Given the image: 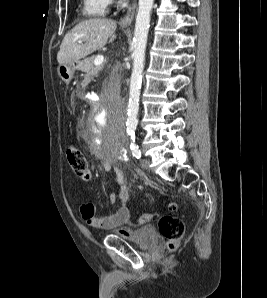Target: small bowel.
Segmentation results:
<instances>
[{"label": "small bowel", "mask_w": 267, "mask_h": 298, "mask_svg": "<svg viewBox=\"0 0 267 298\" xmlns=\"http://www.w3.org/2000/svg\"><path fill=\"white\" fill-rule=\"evenodd\" d=\"M116 174L119 192H111L108 195L107 201L110 205H113L119 199L121 202L119 209L111 215H98L96 206L93 203L88 202L81 205L80 214L85 223L90 227L102 230L119 228L120 234L130 235L132 230L127 227H122L127 222L129 217V210L127 208V201L129 198L128 186L119 168H116ZM91 179L92 175L89 172L88 177L83 179V181L90 182Z\"/></svg>", "instance_id": "small-bowel-1"}]
</instances>
